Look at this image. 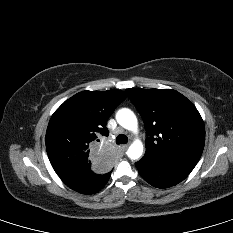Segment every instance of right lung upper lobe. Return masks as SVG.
<instances>
[{
  "mask_svg": "<svg viewBox=\"0 0 233 233\" xmlns=\"http://www.w3.org/2000/svg\"><path fill=\"white\" fill-rule=\"evenodd\" d=\"M126 97L121 90L82 91L54 112L46 132V150L58 175L91 168L104 172L112 167L113 154L105 147L106 123Z\"/></svg>",
  "mask_w": 233,
  "mask_h": 233,
  "instance_id": "obj_1",
  "label": "right lung upper lobe"
}]
</instances>
